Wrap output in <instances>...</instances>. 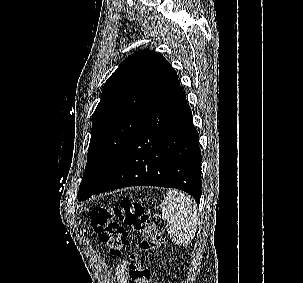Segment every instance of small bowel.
<instances>
[{
    "label": "small bowel",
    "instance_id": "obj_1",
    "mask_svg": "<svg viewBox=\"0 0 303 283\" xmlns=\"http://www.w3.org/2000/svg\"><path fill=\"white\" fill-rule=\"evenodd\" d=\"M127 268H128V263L125 260L121 261L116 266L115 276L117 283H128Z\"/></svg>",
    "mask_w": 303,
    "mask_h": 283
}]
</instances>
